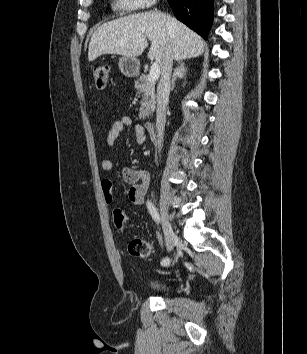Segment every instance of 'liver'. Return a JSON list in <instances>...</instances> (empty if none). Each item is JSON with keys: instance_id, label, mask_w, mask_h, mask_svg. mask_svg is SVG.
I'll list each match as a JSON object with an SVG mask.
<instances>
[{"instance_id": "liver-1", "label": "liver", "mask_w": 307, "mask_h": 354, "mask_svg": "<svg viewBox=\"0 0 307 354\" xmlns=\"http://www.w3.org/2000/svg\"><path fill=\"white\" fill-rule=\"evenodd\" d=\"M150 40V60L160 65L165 48H171L173 59L184 60L201 55L205 41L174 17L156 11L129 15L104 23L93 33L88 49L90 62L104 54L140 56Z\"/></svg>"}]
</instances>
